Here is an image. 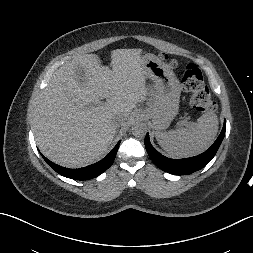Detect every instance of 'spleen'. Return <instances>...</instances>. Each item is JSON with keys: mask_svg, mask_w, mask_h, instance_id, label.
Masks as SVG:
<instances>
[{"mask_svg": "<svg viewBox=\"0 0 253 253\" xmlns=\"http://www.w3.org/2000/svg\"><path fill=\"white\" fill-rule=\"evenodd\" d=\"M218 117L210 112L201 115L191 127H179L167 132H156L161 148L176 158H186L204 152L215 140Z\"/></svg>", "mask_w": 253, "mask_h": 253, "instance_id": "3e777b00", "label": "spleen"}]
</instances>
